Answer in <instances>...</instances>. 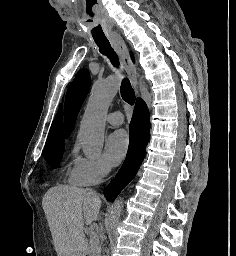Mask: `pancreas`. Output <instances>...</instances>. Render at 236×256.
<instances>
[{
	"label": "pancreas",
	"mask_w": 236,
	"mask_h": 256,
	"mask_svg": "<svg viewBox=\"0 0 236 256\" xmlns=\"http://www.w3.org/2000/svg\"><path fill=\"white\" fill-rule=\"evenodd\" d=\"M100 229V226H95L94 229L90 230L89 248H92L90 250L91 254H98L101 250L100 238L98 234Z\"/></svg>",
	"instance_id": "obj_1"
}]
</instances>
